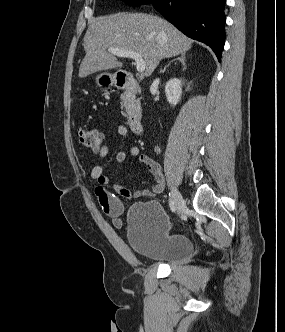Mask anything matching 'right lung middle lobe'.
<instances>
[{
    "label": "right lung middle lobe",
    "mask_w": 285,
    "mask_h": 332,
    "mask_svg": "<svg viewBox=\"0 0 285 332\" xmlns=\"http://www.w3.org/2000/svg\"><path fill=\"white\" fill-rule=\"evenodd\" d=\"M129 5L140 6L141 4H149L153 0H124Z\"/></svg>",
    "instance_id": "1"
}]
</instances>
